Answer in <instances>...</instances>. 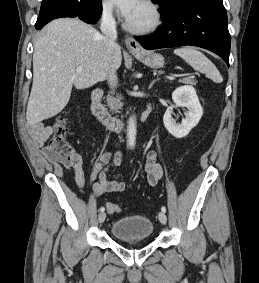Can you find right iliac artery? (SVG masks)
<instances>
[{"mask_svg":"<svg viewBox=\"0 0 259 283\" xmlns=\"http://www.w3.org/2000/svg\"><path fill=\"white\" fill-rule=\"evenodd\" d=\"M104 210H105V208H104V207H101V208H100V211H101V212H103Z\"/></svg>","mask_w":259,"mask_h":283,"instance_id":"82829eb1","label":"right iliac artery"}]
</instances>
